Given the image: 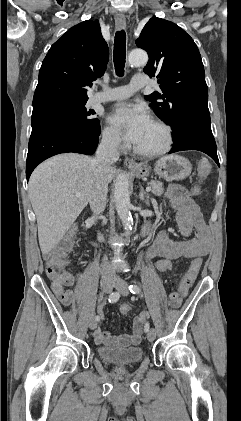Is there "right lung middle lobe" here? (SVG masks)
<instances>
[{
    "label": "right lung middle lobe",
    "mask_w": 241,
    "mask_h": 421,
    "mask_svg": "<svg viewBox=\"0 0 241 421\" xmlns=\"http://www.w3.org/2000/svg\"><path fill=\"white\" fill-rule=\"evenodd\" d=\"M87 101H54L33 107L32 130L49 124H61L88 133L100 134V121L93 118V110H87Z\"/></svg>",
    "instance_id": "1"
}]
</instances>
